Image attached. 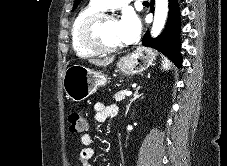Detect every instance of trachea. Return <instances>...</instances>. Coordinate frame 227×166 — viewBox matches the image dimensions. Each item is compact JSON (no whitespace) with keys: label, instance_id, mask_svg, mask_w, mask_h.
Segmentation results:
<instances>
[{"label":"trachea","instance_id":"obj_1","mask_svg":"<svg viewBox=\"0 0 227 166\" xmlns=\"http://www.w3.org/2000/svg\"><path fill=\"white\" fill-rule=\"evenodd\" d=\"M143 3H144V4H148V2H147V1H144Z\"/></svg>","mask_w":227,"mask_h":166}]
</instances>
